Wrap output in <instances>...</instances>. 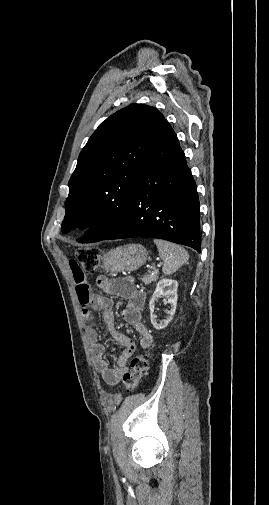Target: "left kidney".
<instances>
[{"label": "left kidney", "mask_w": 269, "mask_h": 505, "mask_svg": "<svg viewBox=\"0 0 269 505\" xmlns=\"http://www.w3.org/2000/svg\"><path fill=\"white\" fill-rule=\"evenodd\" d=\"M177 288H178V282L176 280L164 278L157 283L156 289L149 302L150 319L155 329L161 330L165 328L172 320L177 306V299H178ZM160 296L167 297V303L170 304L171 309L170 311H168L167 317L164 320L158 322L157 317L154 314V309H155V302Z\"/></svg>", "instance_id": "obj_1"}]
</instances>
